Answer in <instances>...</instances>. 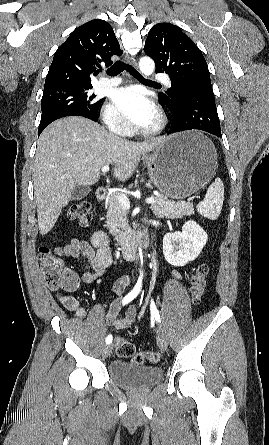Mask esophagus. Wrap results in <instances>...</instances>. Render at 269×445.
<instances>
[{
  "mask_svg": "<svg viewBox=\"0 0 269 445\" xmlns=\"http://www.w3.org/2000/svg\"><path fill=\"white\" fill-rule=\"evenodd\" d=\"M126 61L129 65L133 66L134 68H137V62L134 58L127 56Z\"/></svg>",
  "mask_w": 269,
  "mask_h": 445,
  "instance_id": "esophagus-1",
  "label": "esophagus"
}]
</instances>
